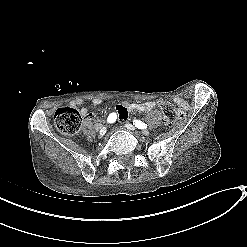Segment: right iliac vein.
<instances>
[{
  "mask_svg": "<svg viewBox=\"0 0 247 247\" xmlns=\"http://www.w3.org/2000/svg\"><path fill=\"white\" fill-rule=\"evenodd\" d=\"M106 131H107L106 127H102V128L100 129V131H99V135H100V136H104L105 133H106Z\"/></svg>",
  "mask_w": 247,
  "mask_h": 247,
  "instance_id": "1",
  "label": "right iliac vein"
}]
</instances>
